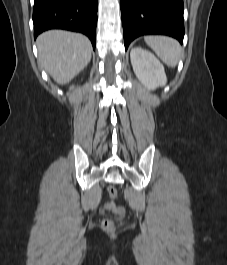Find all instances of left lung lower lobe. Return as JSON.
Listing matches in <instances>:
<instances>
[{
	"instance_id": "left-lung-lower-lobe-1",
	"label": "left lung lower lobe",
	"mask_w": 227,
	"mask_h": 265,
	"mask_svg": "<svg viewBox=\"0 0 227 265\" xmlns=\"http://www.w3.org/2000/svg\"><path fill=\"white\" fill-rule=\"evenodd\" d=\"M124 44L140 35L164 34L183 42V0H120Z\"/></svg>"
}]
</instances>
